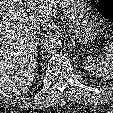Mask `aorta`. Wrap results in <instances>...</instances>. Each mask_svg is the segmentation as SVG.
<instances>
[{"label": "aorta", "instance_id": "aorta-1", "mask_svg": "<svg viewBox=\"0 0 113 113\" xmlns=\"http://www.w3.org/2000/svg\"><path fill=\"white\" fill-rule=\"evenodd\" d=\"M62 44V38L56 34L49 35L43 40V48L49 53H55L60 50Z\"/></svg>", "mask_w": 113, "mask_h": 113}]
</instances>
